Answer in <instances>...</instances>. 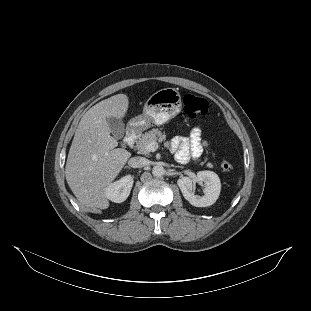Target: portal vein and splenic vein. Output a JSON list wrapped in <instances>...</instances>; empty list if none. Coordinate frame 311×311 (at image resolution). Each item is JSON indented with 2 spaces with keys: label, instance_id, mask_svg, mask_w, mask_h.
I'll use <instances>...</instances> for the list:
<instances>
[{
  "label": "portal vein and splenic vein",
  "instance_id": "obj_1",
  "mask_svg": "<svg viewBox=\"0 0 311 311\" xmlns=\"http://www.w3.org/2000/svg\"><path fill=\"white\" fill-rule=\"evenodd\" d=\"M158 149V143L156 141L151 142L150 144L147 145V150L149 152H155Z\"/></svg>",
  "mask_w": 311,
  "mask_h": 311
}]
</instances>
